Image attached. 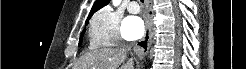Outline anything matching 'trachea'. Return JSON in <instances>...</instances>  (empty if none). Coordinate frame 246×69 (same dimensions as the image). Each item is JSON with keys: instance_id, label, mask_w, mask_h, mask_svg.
I'll return each mask as SVG.
<instances>
[{"instance_id": "trachea-1", "label": "trachea", "mask_w": 246, "mask_h": 69, "mask_svg": "<svg viewBox=\"0 0 246 69\" xmlns=\"http://www.w3.org/2000/svg\"><path fill=\"white\" fill-rule=\"evenodd\" d=\"M142 3L144 2V0H140Z\"/></svg>"}]
</instances>
